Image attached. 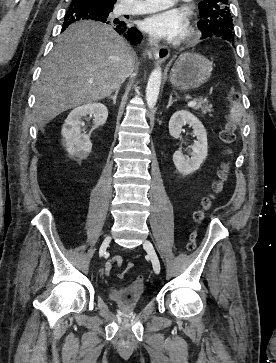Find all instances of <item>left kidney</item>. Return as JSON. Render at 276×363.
<instances>
[{
	"mask_svg": "<svg viewBox=\"0 0 276 363\" xmlns=\"http://www.w3.org/2000/svg\"><path fill=\"white\" fill-rule=\"evenodd\" d=\"M189 125L197 140L191 146V157L183 155L181 149L173 154V162L179 173L189 175L198 170L208 153L207 133L201 121L187 110L175 112L169 121V133L175 139H181L182 128Z\"/></svg>",
	"mask_w": 276,
	"mask_h": 363,
	"instance_id": "obj_1",
	"label": "left kidney"
}]
</instances>
